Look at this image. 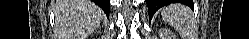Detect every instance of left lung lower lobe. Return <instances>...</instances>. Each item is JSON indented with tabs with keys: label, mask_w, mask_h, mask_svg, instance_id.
<instances>
[{
	"label": "left lung lower lobe",
	"mask_w": 249,
	"mask_h": 39,
	"mask_svg": "<svg viewBox=\"0 0 249 39\" xmlns=\"http://www.w3.org/2000/svg\"><path fill=\"white\" fill-rule=\"evenodd\" d=\"M172 2H181L193 8V2L189 0H146L150 18L159 8Z\"/></svg>",
	"instance_id": "obj_1"
}]
</instances>
